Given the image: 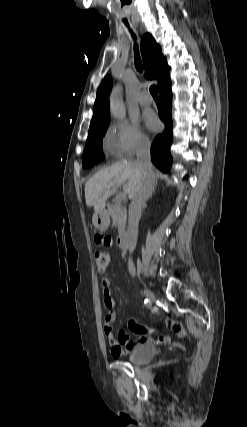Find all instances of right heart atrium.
I'll list each match as a JSON object with an SVG mask.
<instances>
[{"instance_id": "right-heart-atrium-1", "label": "right heart atrium", "mask_w": 247, "mask_h": 427, "mask_svg": "<svg viewBox=\"0 0 247 427\" xmlns=\"http://www.w3.org/2000/svg\"><path fill=\"white\" fill-rule=\"evenodd\" d=\"M105 145L112 155L128 158L147 149L150 146V140L138 124L114 121L106 130Z\"/></svg>"}]
</instances>
